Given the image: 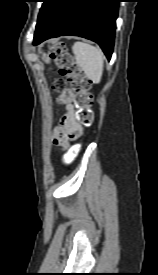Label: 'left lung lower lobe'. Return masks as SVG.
I'll list each match as a JSON object with an SVG mask.
<instances>
[{
	"mask_svg": "<svg viewBox=\"0 0 158 275\" xmlns=\"http://www.w3.org/2000/svg\"><path fill=\"white\" fill-rule=\"evenodd\" d=\"M120 0H50L36 27L33 45L58 36L75 35L100 45L110 60Z\"/></svg>",
	"mask_w": 158,
	"mask_h": 275,
	"instance_id": "1",
	"label": "left lung lower lobe"
}]
</instances>
